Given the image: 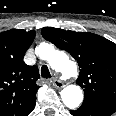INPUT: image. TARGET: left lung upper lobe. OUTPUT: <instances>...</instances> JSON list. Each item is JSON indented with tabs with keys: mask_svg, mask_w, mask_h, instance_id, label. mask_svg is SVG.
Segmentation results:
<instances>
[{
	"mask_svg": "<svg viewBox=\"0 0 116 116\" xmlns=\"http://www.w3.org/2000/svg\"><path fill=\"white\" fill-rule=\"evenodd\" d=\"M42 36L69 52L80 68L76 83L84 88L83 102L116 104V44L89 32L43 28Z\"/></svg>",
	"mask_w": 116,
	"mask_h": 116,
	"instance_id": "obj_1",
	"label": "left lung upper lobe"
}]
</instances>
